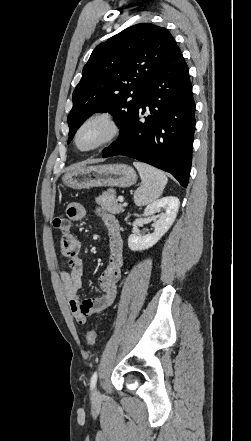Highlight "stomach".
<instances>
[{
    "label": "stomach",
    "instance_id": "0dacf381",
    "mask_svg": "<svg viewBox=\"0 0 251 441\" xmlns=\"http://www.w3.org/2000/svg\"><path fill=\"white\" fill-rule=\"evenodd\" d=\"M62 180L65 186L77 190L106 186L126 188L136 183L137 175L129 165L104 164L73 169Z\"/></svg>",
    "mask_w": 251,
    "mask_h": 441
}]
</instances>
